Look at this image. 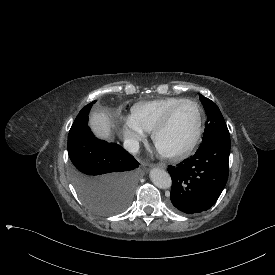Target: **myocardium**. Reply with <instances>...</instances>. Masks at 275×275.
<instances>
[{
  "label": "myocardium",
  "mask_w": 275,
  "mask_h": 275,
  "mask_svg": "<svg viewBox=\"0 0 275 275\" xmlns=\"http://www.w3.org/2000/svg\"><path fill=\"white\" fill-rule=\"evenodd\" d=\"M185 104L192 105L196 111V124H195L193 133L183 145H181L176 149L165 150V149L159 148L156 144L157 138L161 133H163L169 127L172 117L175 114V112L178 110V108H180L182 105H185ZM202 123H203V120H202L201 108L195 101L187 99L175 104L166 113L162 121L159 122L151 131V141H152L153 148L158 154L166 158L175 159L186 155L188 152L192 150V148L195 146L196 142L198 141L202 131Z\"/></svg>",
  "instance_id": "myocardium-1"
}]
</instances>
